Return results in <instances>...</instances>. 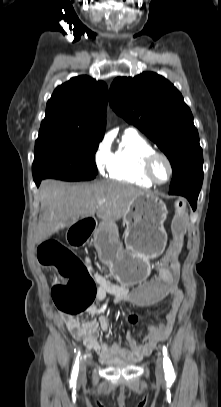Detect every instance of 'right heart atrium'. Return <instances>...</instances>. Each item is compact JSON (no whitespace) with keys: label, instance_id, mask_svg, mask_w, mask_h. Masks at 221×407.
Returning <instances> with one entry per match:
<instances>
[{"label":"right heart atrium","instance_id":"d8ad5b80","mask_svg":"<svg viewBox=\"0 0 221 407\" xmlns=\"http://www.w3.org/2000/svg\"><path fill=\"white\" fill-rule=\"evenodd\" d=\"M111 155L110 141L103 139L98 143L94 153V163L100 174L104 175L109 171Z\"/></svg>","mask_w":221,"mask_h":407}]
</instances>
